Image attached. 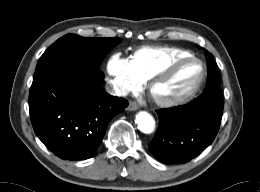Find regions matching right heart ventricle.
<instances>
[{
  "label": "right heart ventricle",
  "instance_id": "right-heart-ventricle-1",
  "mask_svg": "<svg viewBox=\"0 0 260 192\" xmlns=\"http://www.w3.org/2000/svg\"><path fill=\"white\" fill-rule=\"evenodd\" d=\"M188 56V52L176 48L144 47L136 51L131 62L138 75L148 80L171 63Z\"/></svg>",
  "mask_w": 260,
  "mask_h": 192
}]
</instances>
